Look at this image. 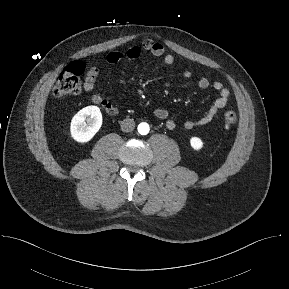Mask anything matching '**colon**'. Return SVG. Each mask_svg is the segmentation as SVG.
Here are the masks:
<instances>
[{
    "instance_id": "colon-1",
    "label": "colon",
    "mask_w": 289,
    "mask_h": 289,
    "mask_svg": "<svg viewBox=\"0 0 289 289\" xmlns=\"http://www.w3.org/2000/svg\"><path fill=\"white\" fill-rule=\"evenodd\" d=\"M86 70L82 62H74L67 66L60 74L54 87V95L58 97L74 96L80 93L82 76ZM237 121V115L233 110L225 111L223 123L226 128L231 127Z\"/></svg>"
}]
</instances>
